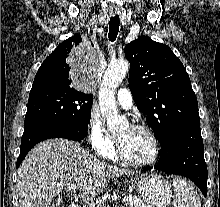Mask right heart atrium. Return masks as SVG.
Masks as SVG:
<instances>
[{
  "mask_svg": "<svg viewBox=\"0 0 220 207\" xmlns=\"http://www.w3.org/2000/svg\"><path fill=\"white\" fill-rule=\"evenodd\" d=\"M87 132L89 144L98 154L114 146V138L107 131L102 116L95 110L89 116Z\"/></svg>",
  "mask_w": 220,
  "mask_h": 207,
  "instance_id": "d8ad5b80",
  "label": "right heart atrium"
}]
</instances>
